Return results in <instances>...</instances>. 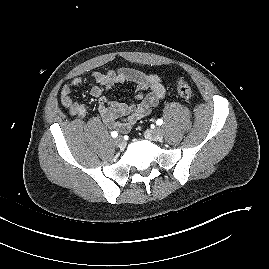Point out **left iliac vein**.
Returning a JSON list of instances; mask_svg holds the SVG:
<instances>
[{
  "instance_id": "obj_1",
  "label": "left iliac vein",
  "mask_w": 269,
  "mask_h": 269,
  "mask_svg": "<svg viewBox=\"0 0 269 269\" xmlns=\"http://www.w3.org/2000/svg\"><path fill=\"white\" fill-rule=\"evenodd\" d=\"M144 135L148 140L158 141L162 138V130L160 128L147 130Z\"/></svg>"
}]
</instances>
